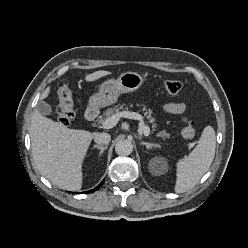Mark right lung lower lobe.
I'll return each instance as SVG.
<instances>
[{"label":"right lung lower lobe","instance_id":"obj_1","mask_svg":"<svg viewBox=\"0 0 248 248\" xmlns=\"http://www.w3.org/2000/svg\"><path fill=\"white\" fill-rule=\"evenodd\" d=\"M102 184H103V181L97 187H95L93 190L87 191V193H91L93 191L98 190L101 187Z\"/></svg>","mask_w":248,"mask_h":248}]
</instances>
